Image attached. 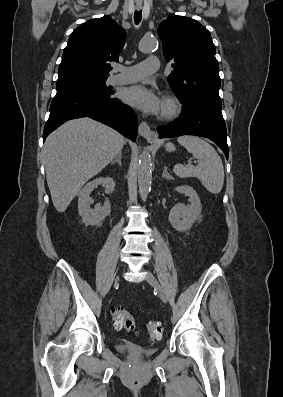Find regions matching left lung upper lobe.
Returning a JSON list of instances; mask_svg holds the SVG:
<instances>
[{"mask_svg": "<svg viewBox=\"0 0 283 397\" xmlns=\"http://www.w3.org/2000/svg\"><path fill=\"white\" fill-rule=\"evenodd\" d=\"M158 35L164 57L174 68L168 82L182 104L203 101L222 107L219 65L210 32L192 18L169 14L159 25Z\"/></svg>", "mask_w": 283, "mask_h": 397, "instance_id": "left-lung-upper-lobe-1", "label": "left lung upper lobe"}]
</instances>
